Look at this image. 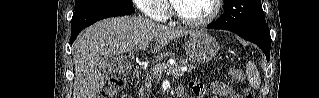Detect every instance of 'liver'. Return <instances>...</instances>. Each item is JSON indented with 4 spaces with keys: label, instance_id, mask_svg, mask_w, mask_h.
<instances>
[{
    "label": "liver",
    "instance_id": "liver-1",
    "mask_svg": "<svg viewBox=\"0 0 319 98\" xmlns=\"http://www.w3.org/2000/svg\"><path fill=\"white\" fill-rule=\"evenodd\" d=\"M195 31L171 28L140 16L107 18L87 28L73 44V98H96L108 80L104 58H120L143 42L156 39L153 53L173 39Z\"/></svg>",
    "mask_w": 319,
    "mask_h": 98
}]
</instances>
